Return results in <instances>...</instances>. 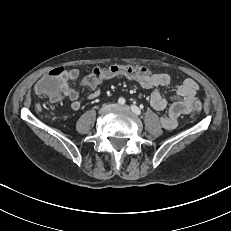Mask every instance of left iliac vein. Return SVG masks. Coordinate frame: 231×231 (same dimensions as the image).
Instances as JSON below:
<instances>
[{
  "mask_svg": "<svg viewBox=\"0 0 231 231\" xmlns=\"http://www.w3.org/2000/svg\"><path fill=\"white\" fill-rule=\"evenodd\" d=\"M113 108L123 110V111H126V112H130L129 106H126V105H114Z\"/></svg>",
  "mask_w": 231,
  "mask_h": 231,
  "instance_id": "4c4485c4",
  "label": "left iliac vein"
}]
</instances>
